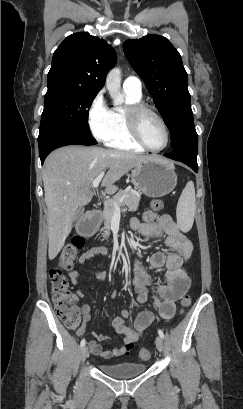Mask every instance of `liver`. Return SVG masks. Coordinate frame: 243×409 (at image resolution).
<instances>
[{"label": "liver", "instance_id": "6515ba94", "mask_svg": "<svg viewBox=\"0 0 243 409\" xmlns=\"http://www.w3.org/2000/svg\"><path fill=\"white\" fill-rule=\"evenodd\" d=\"M152 157L135 153L71 145L48 155L43 165L45 203L48 209V257L53 260L70 234L81 207L92 197V182L106 168L102 186L108 194L115 184L135 166Z\"/></svg>", "mask_w": 243, "mask_h": 409}]
</instances>
